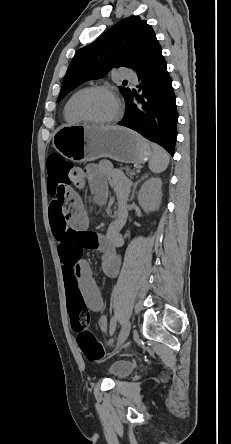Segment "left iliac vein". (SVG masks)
<instances>
[{
    "instance_id": "left-iliac-vein-1",
    "label": "left iliac vein",
    "mask_w": 231,
    "mask_h": 444,
    "mask_svg": "<svg viewBox=\"0 0 231 444\" xmlns=\"http://www.w3.org/2000/svg\"><path fill=\"white\" fill-rule=\"evenodd\" d=\"M130 330H131V323L128 320L123 324V326L121 328V331H120L118 338H117L116 348L113 353H115L121 347V345L125 342V340L127 339L128 335L130 333Z\"/></svg>"
}]
</instances>
